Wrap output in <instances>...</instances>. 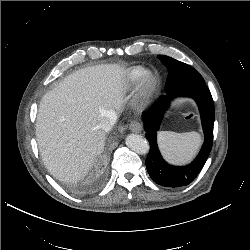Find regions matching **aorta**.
Masks as SVG:
<instances>
[{
	"mask_svg": "<svg viewBox=\"0 0 250 250\" xmlns=\"http://www.w3.org/2000/svg\"><path fill=\"white\" fill-rule=\"evenodd\" d=\"M126 145L138 154H147L149 151L148 141L138 134L127 135Z\"/></svg>",
	"mask_w": 250,
	"mask_h": 250,
	"instance_id": "762f6f07",
	"label": "aorta"
}]
</instances>
